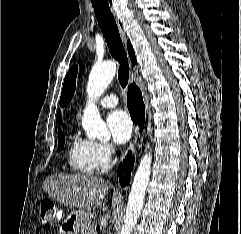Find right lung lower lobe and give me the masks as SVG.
<instances>
[{
    "instance_id": "98d812e1",
    "label": "right lung lower lobe",
    "mask_w": 241,
    "mask_h": 234,
    "mask_svg": "<svg viewBox=\"0 0 241 234\" xmlns=\"http://www.w3.org/2000/svg\"><path fill=\"white\" fill-rule=\"evenodd\" d=\"M127 105L132 120L135 124H138L142 131L145 121V105L143 103L142 94L140 89L135 85H130L128 89ZM134 158L131 152H128L123 164L118 169V175L120 176V183L122 186L128 185L131 171L133 170Z\"/></svg>"
}]
</instances>
